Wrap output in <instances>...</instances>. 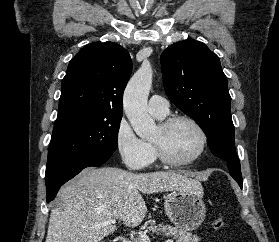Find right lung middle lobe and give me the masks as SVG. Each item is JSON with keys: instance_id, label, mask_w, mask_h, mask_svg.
<instances>
[{"instance_id": "1", "label": "right lung middle lobe", "mask_w": 279, "mask_h": 242, "mask_svg": "<svg viewBox=\"0 0 279 242\" xmlns=\"http://www.w3.org/2000/svg\"><path fill=\"white\" fill-rule=\"evenodd\" d=\"M121 115L74 110L58 114L50 142L46 173L86 154L116 150Z\"/></svg>"}]
</instances>
